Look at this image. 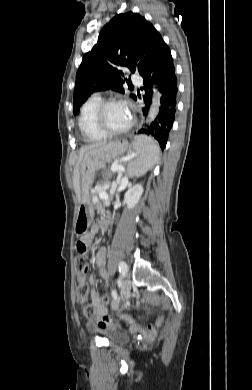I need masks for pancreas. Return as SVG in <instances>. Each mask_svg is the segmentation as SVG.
<instances>
[{"mask_svg": "<svg viewBox=\"0 0 252 390\" xmlns=\"http://www.w3.org/2000/svg\"><path fill=\"white\" fill-rule=\"evenodd\" d=\"M91 198H92L93 203L96 205V209L99 211L97 213V216L102 217L104 214V209H103L105 207L104 203L102 204L101 202H97L94 197H91Z\"/></svg>", "mask_w": 252, "mask_h": 390, "instance_id": "obj_1", "label": "pancreas"}]
</instances>
